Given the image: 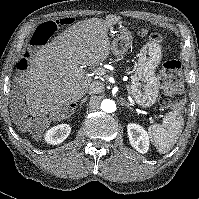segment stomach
<instances>
[{
  "instance_id": "1",
  "label": "stomach",
  "mask_w": 199,
  "mask_h": 199,
  "mask_svg": "<svg viewBox=\"0 0 199 199\" xmlns=\"http://www.w3.org/2000/svg\"><path fill=\"white\" fill-rule=\"evenodd\" d=\"M112 52L114 54H124L128 49H132V32L122 24L116 31L111 28ZM137 61L134 63L133 75L131 76V94L135 102L145 108L154 105L159 97L160 76L156 74V68L162 59L161 40L150 38L136 55Z\"/></svg>"
}]
</instances>
